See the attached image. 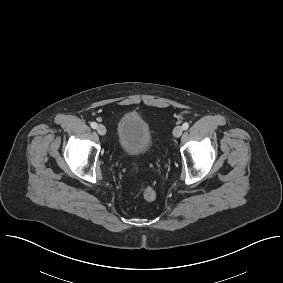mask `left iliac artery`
I'll use <instances>...</instances> for the list:
<instances>
[{
	"mask_svg": "<svg viewBox=\"0 0 283 283\" xmlns=\"http://www.w3.org/2000/svg\"><path fill=\"white\" fill-rule=\"evenodd\" d=\"M182 128L184 130H187L189 128V123L185 122L183 125H182Z\"/></svg>",
	"mask_w": 283,
	"mask_h": 283,
	"instance_id": "44dca946",
	"label": "left iliac artery"
}]
</instances>
